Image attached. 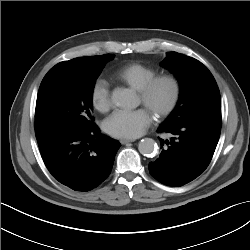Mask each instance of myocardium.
<instances>
[{
	"label": "myocardium",
	"instance_id": "f54148a6",
	"mask_svg": "<svg viewBox=\"0 0 250 250\" xmlns=\"http://www.w3.org/2000/svg\"><path fill=\"white\" fill-rule=\"evenodd\" d=\"M160 84H168L171 87V96L167 104L155 113L158 119L169 116L176 109L182 94V85L177 77L170 74L156 75L138 89L143 103L149 100L155 88Z\"/></svg>",
	"mask_w": 250,
	"mask_h": 250
}]
</instances>
